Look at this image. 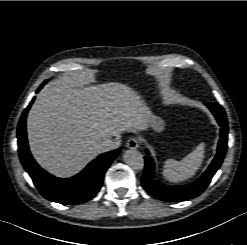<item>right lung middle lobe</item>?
Wrapping results in <instances>:
<instances>
[{"instance_id":"obj_1","label":"right lung middle lobe","mask_w":247,"mask_h":245,"mask_svg":"<svg viewBox=\"0 0 247 245\" xmlns=\"http://www.w3.org/2000/svg\"><path fill=\"white\" fill-rule=\"evenodd\" d=\"M47 81H48V80H46V81L42 84V86H44V85L47 83Z\"/></svg>"}]
</instances>
